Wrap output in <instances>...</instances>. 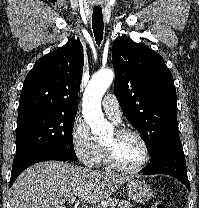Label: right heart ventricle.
Instances as JSON below:
<instances>
[{
    "mask_svg": "<svg viewBox=\"0 0 199 208\" xmlns=\"http://www.w3.org/2000/svg\"><path fill=\"white\" fill-rule=\"evenodd\" d=\"M106 164L105 163V158H104V151L102 149V147L100 146V152H99V155H98V158H97V164Z\"/></svg>",
    "mask_w": 199,
    "mask_h": 208,
    "instance_id": "obj_1",
    "label": "right heart ventricle"
}]
</instances>
